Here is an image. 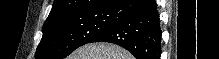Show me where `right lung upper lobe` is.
<instances>
[{"label":"right lung upper lobe","mask_w":219,"mask_h":59,"mask_svg":"<svg viewBox=\"0 0 219 59\" xmlns=\"http://www.w3.org/2000/svg\"><path fill=\"white\" fill-rule=\"evenodd\" d=\"M122 0H55L51 12L46 20L75 15L94 10L114 9Z\"/></svg>","instance_id":"right-lung-upper-lobe-1"}]
</instances>
